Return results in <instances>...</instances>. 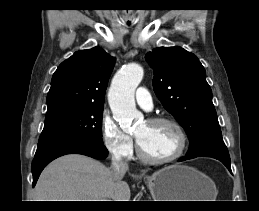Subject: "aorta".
Here are the masks:
<instances>
[{"mask_svg":"<svg viewBox=\"0 0 259 211\" xmlns=\"http://www.w3.org/2000/svg\"><path fill=\"white\" fill-rule=\"evenodd\" d=\"M143 75V68L139 64L132 63L120 69L112 80L108 101L113 117L124 131L134 129L142 118V114L135 106L134 93Z\"/></svg>","mask_w":259,"mask_h":211,"instance_id":"762f6f07","label":"aorta"}]
</instances>
